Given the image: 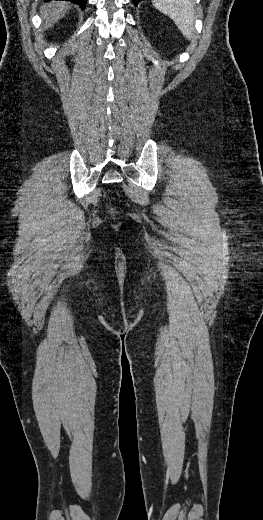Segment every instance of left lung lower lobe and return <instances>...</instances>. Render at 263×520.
Here are the masks:
<instances>
[{"mask_svg":"<svg viewBox=\"0 0 263 520\" xmlns=\"http://www.w3.org/2000/svg\"><path fill=\"white\" fill-rule=\"evenodd\" d=\"M140 0H133L134 5H137Z\"/></svg>","mask_w":263,"mask_h":520,"instance_id":"obj_1","label":"left lung lower lobe"}]
</instances>
